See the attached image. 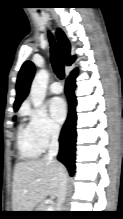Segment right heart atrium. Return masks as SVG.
<instances>
[{
	"label": "right heart atrium",
	"mask_w": 123,
	"mask_h": 219,
	"mask_svg": "<svg viewBox=\"0 0 123 219\" xmlns=\"http://www.w3.org/2000/svg\"><path fill=\"white\" fill-rule=\"evenodd\" d=\"M23 113L29 117L31 130L40 144L45 149L59 136L58 125L48 116L45 110L30 109L25 107Z\"/></svg>",
	"instance_id": "d8ad5b80"
}]
</instances>
